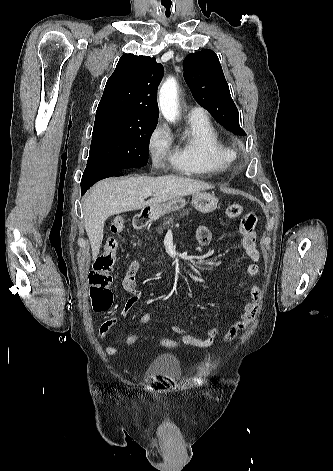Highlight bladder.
I'll list each match as a JSON object with an SVG mask.
<instances>
[{
	"mask_svg": "<svg viewBox=\"0 0 333 471\" xmlns=\"http://www.w3.org/2000/svg\"><path fill=\"white\" fill-rule=\"evenodd\" d=\"M147 374L178 380L181 376L180 362L174 355H159L150 362Z\"/></svg>",
	"mask_w": 333,
	"mask_h": 471,
	"instance_id": "31cf9c89",
	"label": "bladder"
}]
</instances>
